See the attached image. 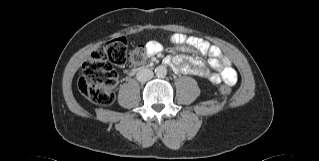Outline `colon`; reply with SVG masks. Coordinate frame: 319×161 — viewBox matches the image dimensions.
<instances>
[{"mask_svg": "<svg viewBox=\"0 0 319 161\" xmlns=\"http://www.w3.org/2000/svg\"><path fill=\"white\" fill-rule=\"evenodd\" d=\"M159 50V45H156L152 53L155 54ZM147 54H149L147 50L142 47L128 53L124 37L108 40L84 62L78 79L79 91L95 103L111 104L115 99L114 89L117 83V74L113 66L142 63L146 60ZM220 92L229 95L231 88L228 85H221Z\"/></svg>", "mask_w": 319, "mask_h": 161, "instance_id": "obj_1", "label": "colon"}]
</instances>
